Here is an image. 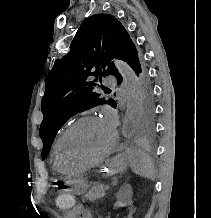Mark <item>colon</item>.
Returning a JSON list of instances; mask_svg holds the SVG:
<instances>
[{"instance_id":"1","label":"colon","mask_w":211,"mask_h":218,"mask_svg":"<svg viewBox=\"0 0 211 218\" xmlns=\"http://www.w3.org/2000/svg\"><path fill=\"white\" fill-rule=\"evenodd\" d=\"M56 203L58 207L62 209L75 208V198L69 188L62 187L58 189V193L56 196Z\"/></svg>"}]
</instances>
